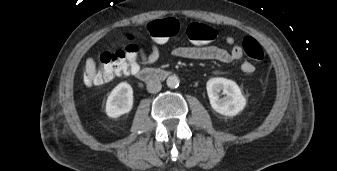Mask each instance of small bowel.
I'll use <instances>...</instances> for the list:
<instances>
[{"label":"small bowel","instance_id":"obj_1","mask_svg":"<svg viewBox=\"0 0 337 171\" xmlns=\"http://www.w3.org/2000/svg\"><path fill=\"white\" fill-rule=\"evenodd\" d=\"M224 41L229 46L234 45V38L232 36H226ZM172 54L174 57L180 59L214 60L222 63H231L242 58L243 50L240 46H233L231 49H225L216 45L178 46L172 50ZM139 57L143 65H153L160 58L159 46L153 43L149 53H145L142 48H139ZM254 70L255 67L251 62H242L241 71L244 74H252Z\"/></svg>","mask_w":337,"mask_h":171}]
</instances>
